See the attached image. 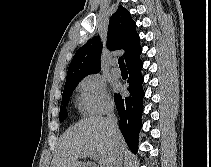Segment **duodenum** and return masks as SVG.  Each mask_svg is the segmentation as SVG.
<instances>
[{"instance_id":"duodenum-1","label":"duodenum","mask_w":211,"mask_h":167,"mask_svg":"<svg viewBox=\"0 0 211 167\" xmlns=\"http://www.w3.org/2000/svg\"><path fill=\"white\" fill-rule=\"evenodd\" d=\"M87 167H97L96 165H88Z\"/></svg>"}]
</instances>
